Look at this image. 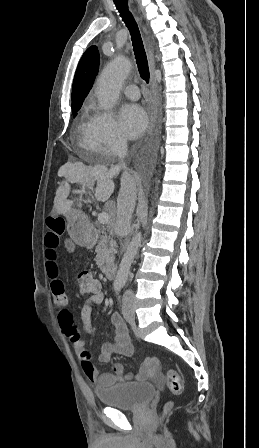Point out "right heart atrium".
Listing matches in <instances>:
<instances>
[{"label": "right heart atrium", "mask_w": 259, "mask_h": 448, "mask_svg": "<svg viewBox=\"0 0 259 448\" xmlns=\"http://www.w3.org/2000/svg\"><path fill=\"white\" fill-rule=\"evenodd\" d=\"M93 151L97 157H120L127 146L113 114L106 110L98 112L92 136Z\"/></svg>", "instance_id": "d8ad5b80"}]
</instances>
